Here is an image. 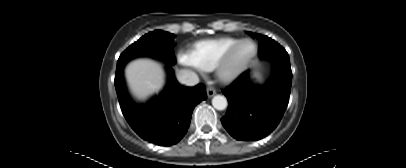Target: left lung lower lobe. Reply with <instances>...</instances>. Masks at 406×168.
I'll use <instances>...</instances> for the list:
<instances>
[{"mask_svg": "<svg viewBox=\"0 0 406 168\" xmlns=\"http://www.w3.org/2000/svg\"><path fill=\"white\" fill-rule=\"evenodd\" d=\"M292 72L290 62H274L270 79L262 86L242 73L223 93L228 109L221 122L237 140H260L279 124L289 102Z\"/></svg>", "mask_w": 406, "mask_h": 168, "instance_id": "obj_1", "label": "left lung lower lobe"}]
</instances>
